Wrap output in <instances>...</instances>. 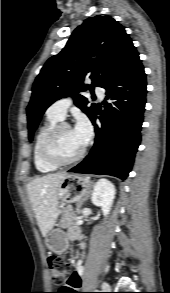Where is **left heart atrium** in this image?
<instances>
[{
  "instance_id": "left-heart-atrium-1",
  "label": "left heart atrium",
  "mask_w": 170,
  "mask_h": 293,
  "mask_svg": "<svg viewBox=\"0 0 170 293\" xmlns=\"http://www.w3.org/2000/svg\"><path fill=\"white\" fill-rule=\"evenodd\" d=\"M74 134L82 145H85L90 137V124L87 120H81L73 129Z\"/></svg>"
}]
</instances>
